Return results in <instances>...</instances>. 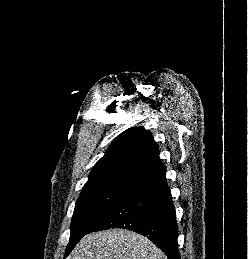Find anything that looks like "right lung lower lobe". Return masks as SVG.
Segmentation results:
<instances>
[{"label": "right lung lower lobe", "mask_w": 248, "mask_h": 259, "mask_svg": "<svg viewBox=\"0 0 248 259\" xmlns=\"http://www.w3.org/2000/svg\"><path fill=\"white\" fill-rule=\"evenodd\" d=\"M110 228L147 236L168 259H180L176 214L165 169L130 186L89 233Z\"/></svg>", "instance_id": "1"}]
</instances>
